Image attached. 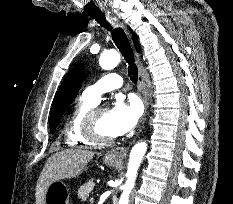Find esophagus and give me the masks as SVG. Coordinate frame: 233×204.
Here are the masks:
<instances>
[{
	"label": "esophagus",
	"instance_id": "obj_1",
	"mask_svg": "<svg viewBox=\"0 0 233 204\" xmlns=\"http://www.w3.org/2000/svg\"><path fill=\"white\" fill-rule=\"evenodd\" d=\"M109 13V12H108ZM137 66H138V89L142 96V100L145 105V115H148V108H149V95L148 89L146 86L145 78H144V71L143 66L139 61L138 55L136 54ZM127 154V149L124 147H117L112 149L106 154V157L112 160H122Z\"/></svg>",
	"mask_w": 233,
	"mask_h": 204
}]
</instances>
